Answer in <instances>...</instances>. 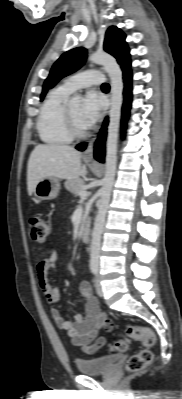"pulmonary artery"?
<instances>
[{"label": "pulmonary artery", "mask_w": 182, "mask_h": 399, "mask_svg": "<svg viewBox=\"0 0 182 399\" xmlns=\"http://www.w3.org/2000/svg\"><path fill=\"white\" fill-rule=\"evenodd\" d=\"M104 75L98 70H87L67 78L61 85L63 89L72 93L78 89L103 83Z\"/></svg>", "instance_id": "e3ab8cb5"}]
</instances>
